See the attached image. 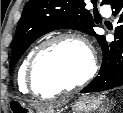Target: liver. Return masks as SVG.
I'll use <instances>...</instances> for the list:
<instances>
[{"label": "liver", "instance_id": "6515ba94", "mask_svg": "<svg viewBox=\"0 0 123 113\" xmlns=\"http://www.w3.org/2000/svg\"><path fill=\"white\" fill-rule=\"evenodd\" d=\"M66 101H60V102H57V103H54V104H45L43 107L44 109H53V107L55 105H61V104H64Z\"/></svg>", "mask_w": 123, "mask_h": 113}]
</instances>
